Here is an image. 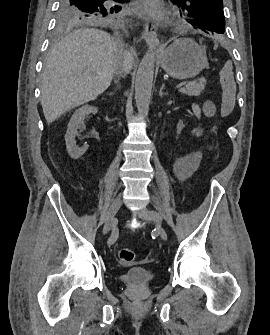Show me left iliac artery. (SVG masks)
I'll list each match as a JSON object with an SVG mask.
<instances>
[{
	"label": "left iliac artery",
	"instance_id": "obj_1",
	"mask_svg": "<svg viewBox=\"0 0 270 335\" xmlns=\"http://www.w3.org/2000/svg\"><path fill=\"white\" fill-rule=\"evenodd\" d=\"M150 214L153 216L154 219H156L157 221H162V216L157 213L156 211H150Z\"/></svg>",
	"mask_w": 270,
	"mask_h": 335
}]
</instances>
